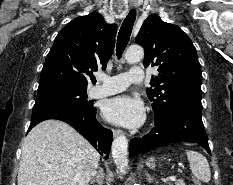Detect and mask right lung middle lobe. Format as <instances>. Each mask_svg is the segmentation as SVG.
<instances>
[{
	"mask_svg": "<svg viewBox=\"0 0 233 185\" xmlns=\"http://www.w3.org/2000/svg\"><path fill=\"white\" fill-rule=\"evenodd\" d=\"M41 103L65 104L86 110L95 108L92 105L93 101L87 100L86 89L56 87L38 90L35 104Z\"/></svg>",
	"mask_w": 233,
	"mask_h": 185,
	"instance_id": "dd1d6c3e",
	"label": "right lung middle lobe"
}]
</instances>
